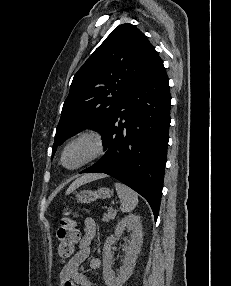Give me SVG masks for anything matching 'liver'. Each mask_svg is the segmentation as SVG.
Here are the masks:
<instances>
[{
  "mask_svg": "<svg viewBox=\"0 0 231 286\" xmlns=\"http://www.w3.org/2000/svg\"><path fill=\"white\" fill-rule=\"evenodd\" d=\"M105 175L103 174H86L78 179H76L67 189L66 194H70L71 192H73L75 189H77L78 187H80L81 185L97 180V179H101L104 178Z\"/></svg>",
  "mask_w": 231,
  "mask_h": 286,
  "instance_id": "obj_1",
  "label": "liver"
}]
</instances>
